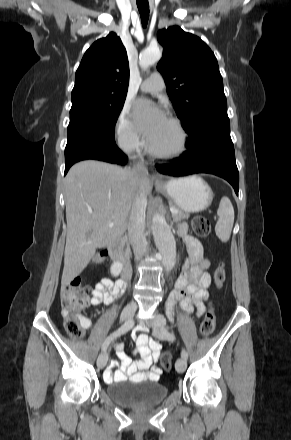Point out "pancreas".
Returning <instances> with one entry per match:
<instances>
[{"instance_id":"obj_1","label":"pancreas","mask_w":291,"mask_h":440,"mask_svg":"<svg viewBox=\"0 0 291 440\" xmlns=\"http://www.w3.org/2000/svg\"><path fill=\"white\" fill-rule=\"evenodd\" d=\"M177 210H178V213L172 215L173 220L175 222H179V221H182V220H185L188 218V215L186 213H184L182 210H180V209H177Z\"/></svg>"}]
</instances>
